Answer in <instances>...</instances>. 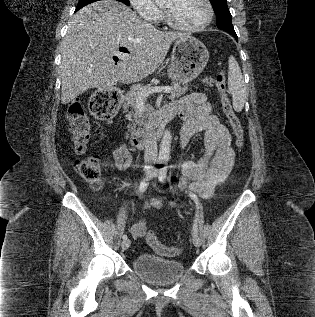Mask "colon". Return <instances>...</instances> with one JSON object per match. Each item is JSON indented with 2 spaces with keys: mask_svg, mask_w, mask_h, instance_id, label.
<instances>
[{
  "mask_svg": "<svg viewBox=\"0 0 315 317\" xmlns=\"http://www.w3.org/2000/svg\"><path fill=\"white\" fill-rule=\"evenodd\" d=\"M216 86L222 102L223 111L228 118L235 135V143L239 151L244 146V130L237 117L226 90V77L224 72L218 73ZM117 92L113 89L97 91L90 100V111L99 120L111 118L117 107ZM70 123L72 142L77 154H83L91 137L92 126L80 102H73L67 112ZM77 173L94 189L102 184L100 159L96 155L88 156L74 162ZM148 245L158 254L166 257H175L180 254V249L162 244L155 232L149 230L146 234Z\"/></svg>",
  "mask_w": 315,
  "mask_h": 317,
  "instance_id": "obj_1",
  "label": "colon"
}]
</instances>
